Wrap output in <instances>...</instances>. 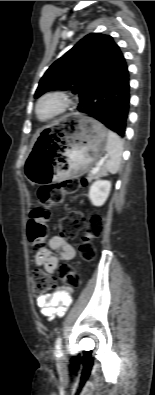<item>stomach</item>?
I'll return each instance as SVG.
<instances>
[{"mask_svg":"<svg viewBox=\"0 0 155 395\" xmlns=\"http://www.w3.org/2000/svg\"><path fill=\"white\" fill-rule=\"evenodd\" d=\"M51 146L36 143L24 165V174L33 184H44L84 173L101 156L107 130L84 114L67 116ZM54 139V138H53Z\"/></svg>","mask_w":155,"mask_h":395,"instance_id":"stomach-1","label":"stomach"}]
</instances>
